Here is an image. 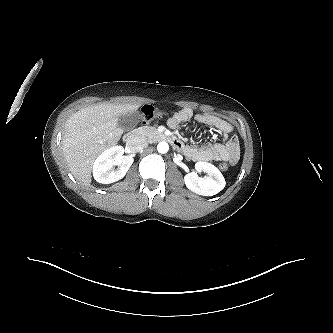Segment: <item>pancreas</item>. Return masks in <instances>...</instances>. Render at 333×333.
I'll list each match as a JSON object with an SVG mask.
<instances>
[{"label": "pancreas", "instance_id": "pancreas-1", "mask_svg": "<svg viewBox=\"0 0 333 333\" xmlns=\"http://www.w3.org/2000/svg\"><path fill=\"white\" fill-rule=\"evenodd\" d=\"M135 135L141 137L147 141L154 140L160 133L157 131L155 127L143 126L135 129Z\"/></svg>", "mask_w": 333, "mask_h": 333}]
</instances>
